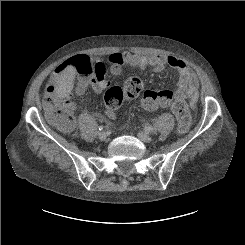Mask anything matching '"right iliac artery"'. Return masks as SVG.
<instances>
[{"label":"right iliac artery","instance_id":"right-iliac-artery-1","mask_svg":"<svg viewBox=\"0 0 245 245\" xmlns=\"http://www.w3.org/2000/svg\"><path fill=\"white\" fill-rule=\"evenodd\" d=\"M103 128H104L103 126H99V127H98V129H99L100 131L103 130Z\"/></svg>","mask_w":245,"mask_h":245}]
</instances>
